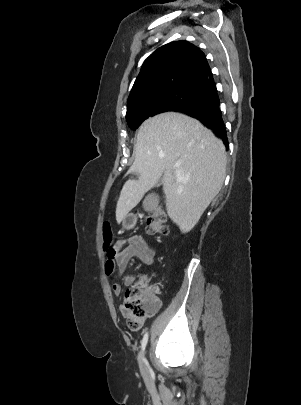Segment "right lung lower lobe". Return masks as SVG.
I'll return each mask as SVG.
<instances>
[{"label":"right lung lower lobe","instance_id":"1","mask_svg":"<svg viewBox=\"0 0 301 405\" xmlns=\"http://www.w3.org/2000/svg\"><path fill=\"white\" fill-rule=\"evenodd\" d=\"M177 112L198 119L204 126L212 130L217 137L222 139L228 149L227 131L222 120L217 94L207 103L181 108Z\"/></svg>","mask_w":301,"mask_h":405}]
</instances>
